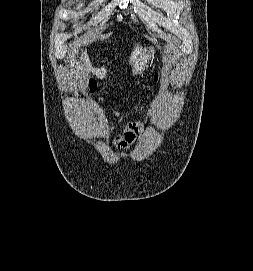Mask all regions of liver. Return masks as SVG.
<instances>
[{"mask_svg": "<svg viewBox=\"0 0 253 271\" xmlns=\"http://www.w3.org/2000/svg\"><path fill=\"white\" fill-rule=\"evenodd\" d=\"M141 53H142V51H141L139 44H136L134 47V50L131 53L129 63L132 65L134 63L136 57ZM80 60H81V63L77 67V72L75 73V76H74L75 87H78L80 89L84 87L85 81H86L90 71H92L100 79L106 78V73H107L106 68L105 67H101V69L93 68L90 63V60H89V57H88L86 51L84 53L82 52V56H81Z\"/></svg>", "mask_w": 253, "mask_h": 271, "instance_id": "1", "label": "liver"}]
</instances>
